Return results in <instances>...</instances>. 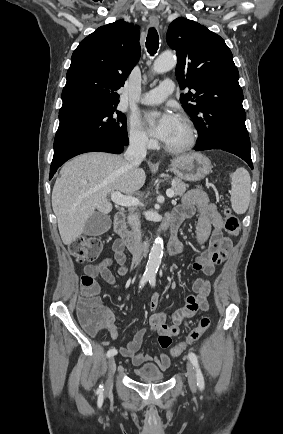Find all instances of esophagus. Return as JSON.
Here are the masks:
<instances>
[{
  "label": "esophagus",
  "instance_id": "obj_1",
  "mask_svg": "<svg viewBox=\"0 0 283 434\" xmlns=\"http://www.w3.org/2000/svg\"><path fill=\"white\" fill-rule=\"evenodd\" d=\"M149 21H150V24H151L152 26L158 27V25H159V20H158L157 17H150Z\"/></svg>",
  "mask_w": 283,
  "mask_h": 434
}]
</instances>
